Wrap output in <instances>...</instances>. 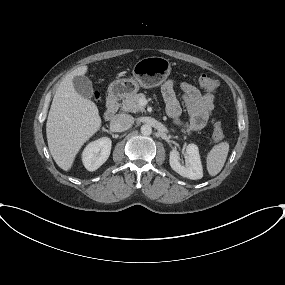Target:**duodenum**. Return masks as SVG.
<instances>
[{
    "mask_svg": "<svg viewBox=\"0 0 285 285\" xmlns=\"http://www.w3.org/2000/svg\"><path fill=\"white\" fill-rule=\"evenodd\" d=\"M118 98L115 93H110L107 97L106 101V108L104 112V118L105 120L109 121L113 119L115 114L118 111Z\"/></svg>",
    "mask_w": 285,
    "mask_h": 285,
    "instance_id": "obj_1",
    "label": "duodenum"
}]
</instances>
